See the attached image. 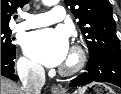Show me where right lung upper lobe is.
Segmentation results:
<instances>
[{
    "label": "right lung upper lobe",
    "instance_id": "right-lung-upper-lobe-1",
    "mask_svg": "<svg viewBox=\"0 0 121 94\" xmlns=\"http://www.w3.org/2000/svg\"><path fill=\"white\" fill-rule=\"evenodd\" d=\"M29 0H1V30L10 29L9 21L11 15L19 7H23Z\"/></svg>",
    "mask_w": 121,
    "mask_h": 94
}]
</instances>
